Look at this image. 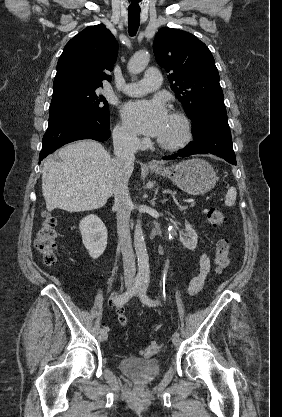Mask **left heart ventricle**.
Segmentation results:
<instances>
[{
	"label": "left heart ventricle",
	"mask_w": 282,
	"mask_h": 417,
	"mask_svg": "<svg viewBox=\"0 0 282 417\" xmlns=\"http://www.w3.org/2000/svg\"><path fill=\"white\" fill-rule=\"evenodd\" d=\"M179 134H180L179 123L177 122V120L168 116L165 126L163 130L161 131V133L158 135V137L163 140L170 141V140L176 139L179 136Z\"/></svg>",
	"instance_id": "obj_1"
}]
</instances>
